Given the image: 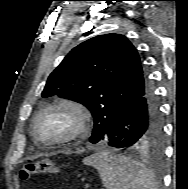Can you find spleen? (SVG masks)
I'll use <instances>...</instances> for the list:
<instances>
[{
    "mask_svg": "<svg viewBox=\"0 0 188 189\" xmlns=\"http://www.w3.org/2000/svg\"><path fill=\"white\" fill-rule=\"evenodd\" d=\"M99 173L106 189H157L153 174L141 163L100 151L83 160Z\"/></svg>",
    "mask_w": 188,
    "mask_h": 189,
    "instance_id": "spleen-1",
    "label": "spleen"
}]
</instances>
